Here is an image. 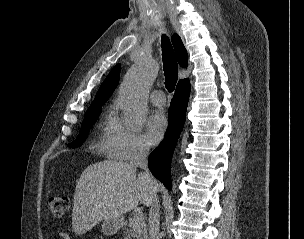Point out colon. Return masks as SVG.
<instances>
[{
	"label": "colon",
	"instance_id": "5ec220e1",
	"mask_svg": "<svg viewBox=\"0 0 304 239\" xmlns=\"http://www.w3.org/2000/svg\"><path fill=\"white\" fill-rule=\"evenodd\" d=\"M47 204L53 216L61 217L69 208V199L66 196L52 195Z\"/></svg>",
	"mask_w": 304,
	"mask_h": 239
}]
</instances>
